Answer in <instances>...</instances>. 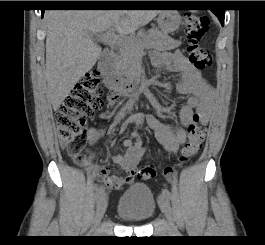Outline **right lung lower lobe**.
<instances>
[{
  "label": "right lung lower lobe",
  "instance_id": "98d812e1",
  "mask_svg": "<svg viewBox=\"0 0 265 245\" xmlns=\"http://www.w3.org/2000/svg\"><path fill=\"white\" fill-rule=\"evenodd\" d=\"M117 5L115 2L110 1H88L85 4H74V6H115ZM45 10H41L42 17L44 15Z\"/></svg>",
  "mask_w": 265,
  "mask_h": 245
}]
</instances>
